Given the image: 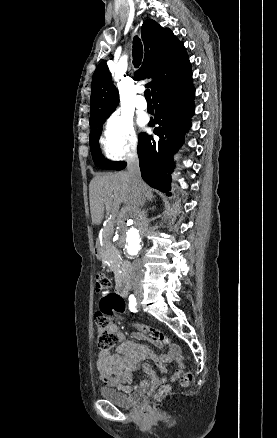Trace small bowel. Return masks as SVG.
Here are the masks:
<instances>
[{"label": "small bowel", "instance_id": "c3829d8e", "mask_svg": "<svg viewBox=\"0 0 277 438\" xmlns=\"http://www.w3.org/2000/svg\"><path fill=\"white\" fill-rule=\"evenodd\" d=\"M109 331L116 334L118 346L114 353L107 351L100 352L96 361V369L99 378L105 384L118 389L129 390L130 387L128 384L132 379L133 371L137 369L141 361L145 358H152L158 362L163 371H167V363L172 361L176 362L177 369L172 376L173 379H178L184 372L185 364L178 346L172 345L168 353L157 356L149 347L141 345L136 341V339L141 337L139 334L134 333L132 334V339H129L116 324L109 326ZM154 347L161 350L164 344L158 341L154 344ZM144 366L145 371H147L145 376L152 377L153 374L149 369L151 361L145 360Z\"/></svg>", "mask_w": 277, "mask_h": 438}]
</instances>
